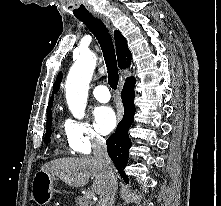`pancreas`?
I'll return each instance as SVG.
<instances>
[{"instance_id":"cf45deb5","label":"pancreas","mask_w":221,"mask_h":206,"mask_svg":"<svg viewBox=\"0 0 221 206\" xmlns=\"http://www.w3.org/2000/svg\"><path fill=\"white\" fill-rule=\"evenodd\" d=\"M76 206H91L86 197L79 196L75 200Z\"/></svg>"}]
</instances>
